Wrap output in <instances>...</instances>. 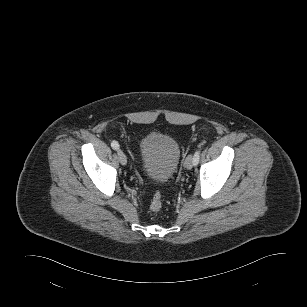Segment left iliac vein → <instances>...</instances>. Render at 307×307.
Masks as SVG:
<instances>
[{
  "label": "left iliac vein",
  "instance_id": "obj_1",
  "mask_svg": "<svg viewBox=\"0 0 307 307\" xmlns=\"http://www.w3.org/2000/svg\"><path fill=\"white\" fill-rule=\"evenodd\" d=\"M184 166H185V168H186L187 170L192 169V167H193V157H192V155H189V156L186 158V160H185V162H184Z\"/></svg>",
  "mask_w": 307,
  "mask_h": 307
}]
</instances>
